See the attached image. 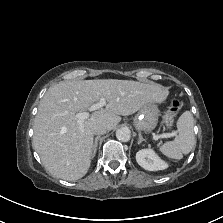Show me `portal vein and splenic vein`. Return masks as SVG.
<instances>
[{
    "mask_svg": "<svg viewBox=\"0 0 223 223\" xmlns=\"http://www.w3.org/2000/svg\"><path fill=\"white\" fill-rule=\"evenodd\" d=\"M105 105H106V100H105V98L101 97L99 102L90 106L89 111L92 112V111L98 110V109L104 107ZM88 116H89L88 112H80V113H76L75 118L77 119L78 124H82V122L86 118H88ZM172 136H173L172 133H163L160 135L153 134V139L158 140L160 138H170Z\"/></svg>",
    "mask_w": 223,
    "mask_h": 223,
    "instance_id": "1",
    "label": "portal vein and splenic vein"
}]
</instances>
